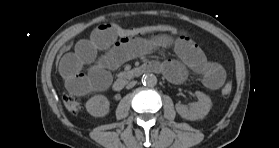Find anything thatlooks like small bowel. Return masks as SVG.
<instances>
[{"instance_id": "obj_1", "label": "small bowel", "mask_w": 279, "mask_h": 148, "mask_svg": "<svg viewBox=\"0 0 279 148\" xmlns=\"http://www.w3.org/2000/svg\"><path fill=\"white\" fill-rule=\"evenodd\" d=\"M108 23L95 28L90 36L78 41L73 51L65 53L58 70L70 93L85 95L105 90L111 81L110 70L157 50L172 49L179 60L152 62L172 82H181L191 72L202 77L212 90L221 87L225 71L207 59L200 44L186 31L159 32L153 36L120 38ZM86 65H91L87 72Z\"/></svg>"}]
</instances>
